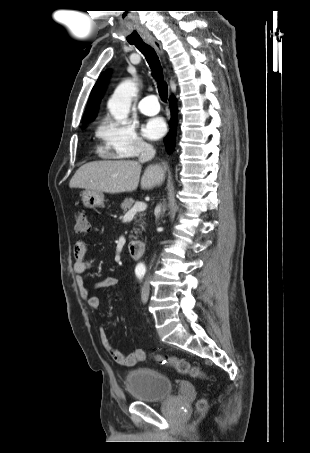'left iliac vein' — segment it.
Wrapping results in <instances>:
<instances>
[{"label": "left iliac vein", "instance_id": "4c4485c4", "mask_svg": "<svg viewBox=\"0 0 310 453\" xmlns=\"http://www.w3.org/2000/svg\"><path fill=\"white\" fill-rule=\"evenodd\" d=\"M149 292H150V289H149V285L148 283H146L142 289V293H141V300L143 303L147 302L148 300V297H149Z\"/></svg>", "mask_w": 310, "mask_h": 453}]
</instances>
